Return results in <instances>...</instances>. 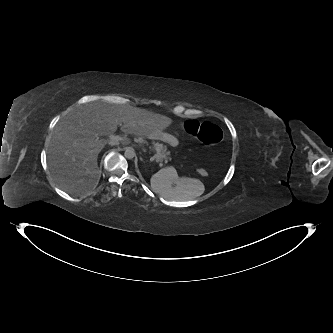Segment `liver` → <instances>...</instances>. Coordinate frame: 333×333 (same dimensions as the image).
Returning <instances> with one entry per match:
<instances>
[{
  "label": "liver",
  "mask_w": 333,
  "mask_h": 333,
  "mask_svg": "<svg viewBox=\"0 0 333 333\" xmlns=\"http://www.w3.org/2000/svg\"><path fill=\"white\" fill-rule=\"evenodd\" d=\"M172 123L167 116L128 104L98 100L78 106L55 126L48 149V166L57 185L70 193H84L100 179L97 157L108 143L98 136L120 130L147 139L160 140ZM129 142L126 137L119 141Z\"/></svg>",
  "instance_id": "6515ba94"
}]
</instances>
